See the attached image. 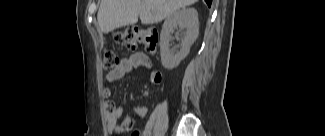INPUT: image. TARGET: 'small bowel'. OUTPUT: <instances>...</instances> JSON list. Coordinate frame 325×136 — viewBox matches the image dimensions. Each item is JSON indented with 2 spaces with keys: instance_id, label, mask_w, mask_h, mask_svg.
I'll use <instances>...</instances> for the list:
<instances>
[{
  "instance_id": "c3829d8e",
  "label": "small bowel",
  "mask_w": 325,
  "mask_h": 136,
  "mask_svg": "<svg viewBox=\"0 0 325 136\" xmlns=\"http://www.w3.org/2000/svg\"><path fill=\"white\" fill-rule=\"evenodd\" d=\"M152 68L151 58L144 52H135L127 58L120 60L119 65L107 73L106 79L109 82H116L124 77L127 73L136 68ZM162 75L158 70H151L149 74V82L151 84H159ZM106 95H110V91H105ZM107 129L110 133H123L130 131L133 127V119L131 117H123V108L117 106L113 101L105 103ZM134 115L144 117L147 109L144 106L138 105L133 109Z\"/></svg>"
}]
</instances>
